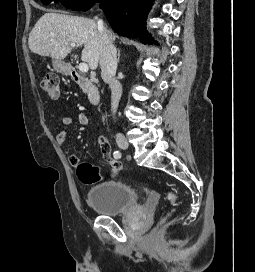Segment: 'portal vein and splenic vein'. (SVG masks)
I'll return each mask as SVG.
<instances>
[{"instance_id":"18ae733b","label":"portal vein and splenic vein","mask_w":255,"mask_h":272,"mask_svg":"<svg viewBox=\"0 0 255 272\" xmlns=\"http://www.w3.org/2000/svg\"><path fill=\"white\" fill-rule=\"evenodd\" d=\"M75 46H76L75 43H71V47H75ZM78 68L81 72H88L89 70V66L85 62L80 63Z\"/></svg>"}]
</instances>
